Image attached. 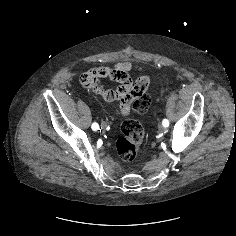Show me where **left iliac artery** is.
<instances>
[{"label": "left iliac artery", "instance_id": "1", "mask_svg": "<svg viewBox=\"0 0 236 236\" xmlns=\"http://www.w3.org/2000/svg\"><path fill=\"white\" fill-rule=\"evenodd\" d=\"M162 125L164 127H168L169 126V121L167 119H164L163 122H162Z\"/></svg>", "mask_w": 236, "mask_h": 236}]
</instances>
